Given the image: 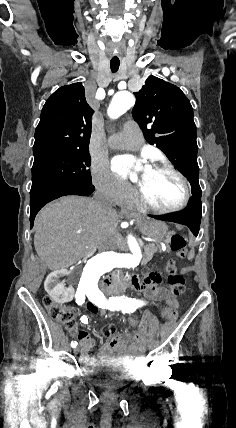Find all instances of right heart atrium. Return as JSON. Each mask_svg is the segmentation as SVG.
<instances>
[{
    "label": "right heart atrium",
    "instance_id": "right-heart-atrium-1",
    "mask_svg": "<svg viewBox=\"0 0 236 428\" xmlns=\"http://www.w3.org/2000/svg\"><path fill=\"white\" fill-rule=\"evenodd\" d=\"M91 182L103 199L113 200V206H122L134 196V192L116 180L104 163L94 164Z\"/></svg>",
    "mask_w": 236,
    "mask_h": 428
}]
</instances>
